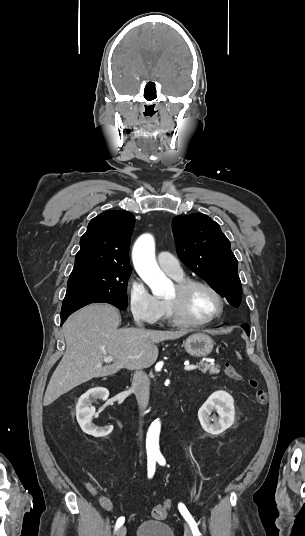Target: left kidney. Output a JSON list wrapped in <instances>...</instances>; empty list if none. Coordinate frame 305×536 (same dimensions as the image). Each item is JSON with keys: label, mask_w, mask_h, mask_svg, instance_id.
<instances>
[{"label": "left kidney", "mask_w": 305, "mask_h": 536, "mask_svg": "<svg viewBox=\"0 0 305 536\" xmlns=\"http://www.w3.org/2000/svg\"><path fill=\"white\" fill-rule=\"evenodd\" d=\"M212 412H216L218 416H211ZM234 400L228 392H214L208 398L207 402L201 406L198 412V418L200 424L208 434L212 436H219L225 430H228L234 422ZM211 416V418H210ZM211 420H214V424H211Z\"/></svg>", "instance_id": "5707ae66"}]
</instances>
